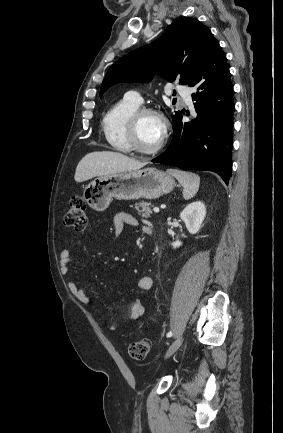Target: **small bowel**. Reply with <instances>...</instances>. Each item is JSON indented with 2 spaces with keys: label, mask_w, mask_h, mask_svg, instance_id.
Returning <instances> with one entry per match:
<instances>
[{
  "label": "small bowel",
  "mask_w": 283,
  "mask_h": 433,
  "mask_svg": "<svg viewBox=\"0 0 283 433\" xmlns=\"http://www.w3.org/2000/svg\"><path fill=\"white\" fill-rule=\"evenodd\" d=\"M114 233L119 236L125 225L136 226L137 220L128 213L120 212L115 215L114 220ZM149 227H143V231L147 233ZM95 239L100 237L97 235L93 236ZM72 260L71 252L69 249H63L59 254L60 271L62 274L66 275L70 271V262ZM153 285V279L150 276L141 277L136 286L141 291L149 290ZM69 289L71 294L82 304L89 303V297L85 291L78 286L74 281H69ZM145 313V306L140 299H135L131 303L130 308V319L135 320L143 316ZM117 329L116 325H111L110 330L115 331Z\"/></svg>",
  "instance_id": "c3829d8e"
}]
</instances>
